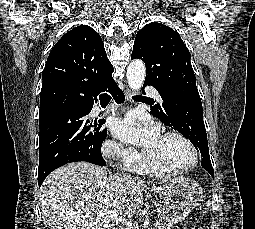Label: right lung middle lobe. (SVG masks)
Returning <instances> with one entry per match:
<instances>
[{
	"instance_id": "1",
	"label": "right lung middle lobe",
	"mask_w": 255,
	"mask_h": 229,
	"mask_svg": "<svg viewBox=\"0 0 255 229\" xmlns=\"http://www.w3.org/2000/svg\"><path fill=\"white\" fill-rule=\"evenodd\" d=\"M88 111L61 110L39 117V172L77 161L102 159L101 146L107 134L103 121H91Z\"/></svg>"
}]
</instances>
